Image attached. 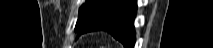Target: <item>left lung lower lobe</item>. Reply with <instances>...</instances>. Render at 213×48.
I'll return each instance as SVG.
<instances>
[{"label": "left lung lower lobe", "instance_id": "0a47b994", "mask_svg": "<svg viewBox=\"0 0 213 48\" xmlns=\"http://www.w3.org/2000/svg\"><path fill=\"white\" fill-rule=\"evenodd\" d=\"M136 0H115L110 6L97 12L82 33L107 31L120 41L124 48H134V18Z\"/></svg>", "mask_w": 213, "mask_h": 48}]
</instances>
